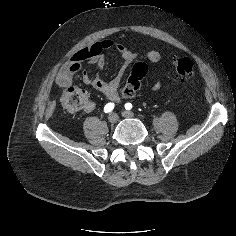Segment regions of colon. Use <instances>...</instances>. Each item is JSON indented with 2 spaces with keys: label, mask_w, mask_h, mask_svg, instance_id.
I'll return each mask as SVG.
<instances>
[{
  "label": "colon",
  "mask_w": 236,
  "mask_h": 236,
  "mask_svg": "<svg viewBox=\"0 0 236 236\" xmlns=\"http://www.w3.org/2000/svg\"><path fill=\"white\" fill-rule=\"evenodd\" d=\"M175 71L179 79L189 81L194 74V65L190 58L183 57L175 62ZM148 72V66L144 62H136L127 78L123 90L138 91L141 82ZM88 102L87 92L75 85L64 88L61 97L63 110L68 114H75L80 111Z\"/></svg>",
  "instance_id": "1"
}]
</instances>
